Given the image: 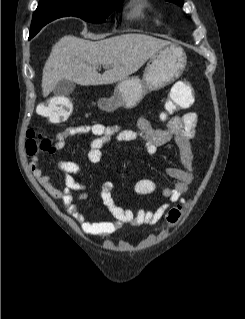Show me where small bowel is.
Here are the masks:
<instances>
[{
    "instance_id": "c3829d8e",
    "label": "small bowel",
    "mask_w": 245,
    "mask_h": 319,
    "mask_svg": "<svg viewBox=\"0 0 245 319\" xmlns=\"http://www.w3.org/2000/svg\"><path fill=\"white\" fill-rule=\"evenodd\" d=\"M173 92L182 91L189 106L194 102V94L190 84L185 80L177 81L172 88ZM198 117L195 112H187L182 115H174L168 121L166 128L156 129L146 116H140L135 128H128L118 125H77L71 126L54 137L53 150L60 152L66 147L69 138L81 134H92L95 139L90 144L88 159L91 163H98L102 158V147L114 140L119 142H136L144 150L153 155L157 149L169 142H174L179 151V158L182 167H168L166 175L174 183L162 189V195L168 200L153 210L143 208H123L116 204L114 199L115 185L106 181L101 186V198L104 205L111 213L112 220L92 221L89 220L78 208L77 201L86 200L87 195L83 193L85 185L78 182L74 176L84 177V172L79 164L68 159H58L57 166L63 172L64 188H56L50 177L43 174L41 166L34 159L31 163V171L39 181L40 185L55 199L62 202L65 210L80 223L85 233L106 237L121 229L124 225H155L165 215L172 203L181 199L189 189L194 180V153L191 140L196 136ZM134 191L139 195L154 193L157 183L150 178L140 179L133 186ZM81 192L78 197L74 192Z\"/></svg>"
}]
</instances>
